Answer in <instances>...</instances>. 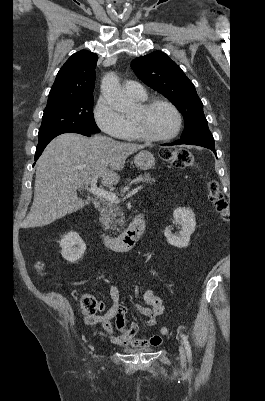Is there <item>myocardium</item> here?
<instances>
[{"label":"myocardium","mask_w":265,"mask_h":401,"mask_svg":"<svg viewBox=\"0 0 265 401\" xmlns=\"http://www.w3.org/2000/svg\"><path fill=\"white\" fill-rule=\"evenodd\" d=\"M157 105H164L173 111V113L175 114L176 119H177V128H176L175 132L170 135L162 136V137H152L145 132L140 119L135 118L134 125H135V129H136L139 137L148 142H162V141L171 140L180 134L182 127H183V119H182V115H181L179 109L174 104H172L171 102H169L167 100L152 99V100L142 102L139 104V108H140L139 114L144 115Z\"/></svg>","instance_id":"myocardium-1"}]
</instances>
